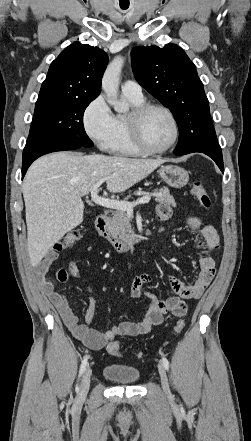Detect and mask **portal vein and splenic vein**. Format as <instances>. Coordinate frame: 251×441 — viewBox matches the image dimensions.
I'll return each instance as SVG.
<instances>
[{
  "instance_id": "obj_1",
  "label": "portal vein and splenic vein",
  "mask_w": 251,
  "mask_h": 441,
  "mask_svg": "<svg viewBox=\"0 0 251 441\" xmlns=\"http://www.w3.org/2000/svg\"><path fill=\"white\" fill-rule=\"evenodd\" d=\"M103 182H104V179L99 180L90 189L91 201L94 202L95 204L99 205V206H102V207H105V208H110V209L123 210V211L130 212V211L133 210V208L136 205L144 204V203H149V201L151 199V196L145 195V196L137 199L134 202H127V201H119V200H113V199L101 197V196L98 195V188L102 185Z\"/></svg>"
}]
</instances>
